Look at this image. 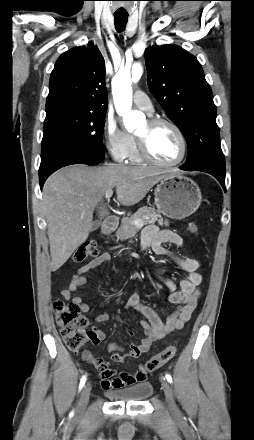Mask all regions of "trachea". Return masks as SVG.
<instances>
[{
	"label": "trachea",
	"mask_w": 254,
	"mask_h": 440,
	"mask_svg": "<svg viewBox=\"0 0 254 440\" xmlns=\"http://www.w3.org/2000/svg\"><path fill=\"white\" fill-rule=\"evenodd\" d=\"M115 28L117 31L121 32L125 29L128 16L115 15Z\"/></svg>",
	"instance_id": "3493384b"
}]
</instances>
